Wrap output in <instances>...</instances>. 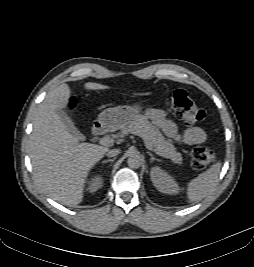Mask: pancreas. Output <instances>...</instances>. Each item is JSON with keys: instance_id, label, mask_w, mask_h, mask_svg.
Returning <instances> with one entry per match:
<instances>
[{"instance_id": "obj_1", "label": "pancreas", "mask_w": 254, "mask_h": 267, "mask_svg": "<svg viewBox=\"0 0 254 267\" xmlns=\"http://www.w3.org/2000/svg\"><path fill=\"white\" fill-rule=\"evenodd\" d=\"M134 134L140 136L144 142L149 143L155 152L173 163L182 164V155L176 151L173 144L165 139L162 133L152 126L144 117L139 116L138 119L130 125L122 129V134Z\"/></svg>"}]
</instances>
